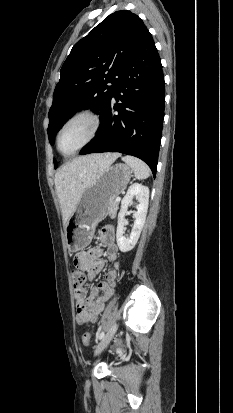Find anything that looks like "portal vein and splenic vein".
<instances>
[{
  "mask_svg": "<svg viewBox=\"0 0 233 413\" xmlns=\"http://www.w3.org/2000/svg\"><path fill=\"white\" fill-rule=\"evenodd\" d=\"M121 200L120 197H116L115 201L119 202Z\"/></svg>",
  "mask_w": 233,
  "mask_h": 413,
  "instance_id": "obj_1",
  "label": "portal vein and splenic vein"
}]
</instances>
